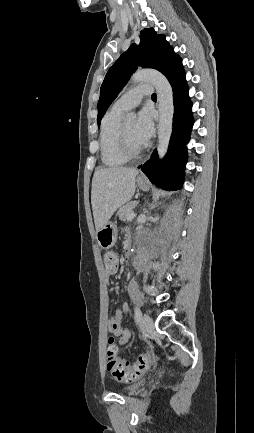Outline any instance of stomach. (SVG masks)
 <instances>
[{"mask_svg": "<svg viewBox=\"0 0 254 433\" xmlns=\"http://www.w3.org/2000/svg\"><path fill=\"white\" fill-rule=\"evenodd\" d=\"M137 186L143 191H146L149 188L148 182L142 178L137 179ZM96 238L101 248H111L117 240V226L112 222H107L97 231Z\"/></svg>", "mask_w": 254, "mask_h": 433, "instance_id": "obj_1", "label": "stomach"}]
</instances>
